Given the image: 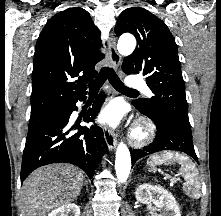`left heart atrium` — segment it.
Instances as JSON below:
<instances>
[{"label":"left heart atrium","mask_w":221,"mask_h":216,"mask_svg":"<svg viewBox=\"0 0 221 216\" xmlns=\"http://www.w3.org/2000/svg\"><path fill=\"white\" fill-rule=\"evenodd\" d=\"M121 117V109L116 104L106 106L98 117V122L103 125L115 126Z\"/></svg>","instance_id":"left-heart-atrium-1"}]
</instances>
